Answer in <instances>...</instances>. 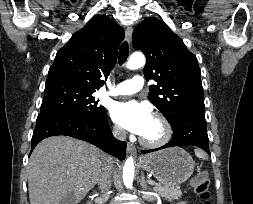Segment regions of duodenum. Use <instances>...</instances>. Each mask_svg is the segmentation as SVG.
Wrapping results in <instances>:
<instances>
[{"label":"duodenum","mask_w":253,"mask_h":204,"mask_svg":"<svg viewBox=\"0 0 253 204\" xmlns=\"http://www.w3.org/2000/svg\"><path fill=\"white\" fill-rule=\"evenodd\" d=\"M87 204H93V196H91L87 202Z\"/></svg>","instance_id":"1"}]
</instances>
